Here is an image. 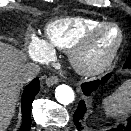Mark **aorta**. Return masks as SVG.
<instances>
[{"instance_id": "1", "label": "aorta", "mask_w": 131, "mask_h": 131, "mask_svg": "<svg viewBox=\"0 0 131 131\" xmlns=\"http://www.w3.org/2000/svg\"><path fill=\"white\" fill-rule=\"evenodd\" d=\"M55 97L60 104L68 105L74 101L75 94L70 86L62 84L56 87Z\"/></svg>"}]
</instances>
